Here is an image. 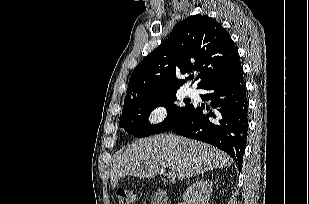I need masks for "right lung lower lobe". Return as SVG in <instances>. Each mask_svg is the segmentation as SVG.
<instances>
[{"mask_svg": "<svg viewBox=\"0 0 309 204\" xmlns=\"http://www.w3.org/2000/svg\"><path fill=\"white\" fill-rule=\"evenodd\" d=\"M201 95L211 101L213 110L203 113L204 107L193 105L184 118L174 126V133L200 140L229 154L242 167L248 130V100L240 65L232 73L209 82Z\"/></svg>", "mask_w": 309, "mask_h": 204, "instance_id": "1", "label": "right lung lower lobe"}]
</instances>
